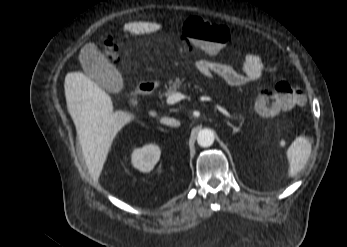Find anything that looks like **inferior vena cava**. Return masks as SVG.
Masks as SVG:
<instances>
[{
    "label": "inferior vena cava",
    "mask_w": 347,
    "mask_h": 247,
    "mask_svg": "<svg viewBox=\"0 0 347 247\" xmlns=\"http://www.w3.org/2000/svg\"><path fill=\"white\" fill-rule=\"evenodd\" d=\"M160 122L166 125L174 126V127H177L180 125V122L178 120L174 118H169V117L161 118Z\"/></svg>",
    "instance_id": "obj_1"
}]
</instances>
